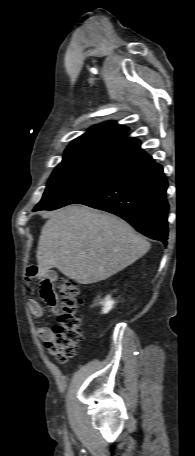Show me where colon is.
Masks as SVG:
<instances>
[{
	"mask_svg": "<svg viewBox=\"0 0 195 456\" xmlns=\"http://www.w3.org/2000/svg\"><path fill=\"white\" fill-rule=\"evenodd\" d=\"M56 307L57 324L53 328L54 340L45 344L49 353L60 363L73 357L82 340L81 307L79 285L71 278L61 277L57 282Z\"/></svg>",
	"mask_w": 195,
	"mask_h": 456,
	"instance_id": "obj_1",
	"label": "colon"
}]
</instances>
